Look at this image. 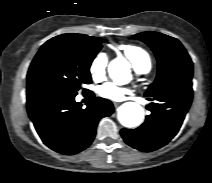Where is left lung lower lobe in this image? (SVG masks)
Instances as JSON below:
<instances>
[{
    "label": "left lung lower lobe",
    "mask_w": 212,
    "mask_h": 183,
    "mask_svg": "<svg viewBox=\"0 0 212 183\" xmlns=\"http://www.w3.org/2000/svg\"><path fill=\"white\" fill-rule=\"evenodd\" d=\"M145 97L157 101L147 106L151 114L140 127L122 129L121 136L131 147L151 152L166 145L179 131L192 102V82L168 85L145 93Z\"/></svg>",
    "instance_id": "left-lung-lower-lobe-1"
}]
</instances>
